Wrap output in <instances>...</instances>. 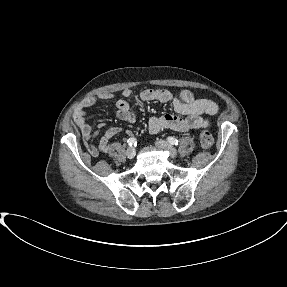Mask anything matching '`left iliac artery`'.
<instances>
[{
    "instance_id": "1",
    "label": "left iliac artery",
    "mask_w": 287,
    "mask_h": 287,
    "mask_svg": "<svg viewBox=\"0 0 287 287\" xmlns=\"http://www.w3.org/2000/svg\"><path fill=\"white\" fill-rule=\"evenodd\" d=\"M167 141L169 144L171 145H178L179 144V141L178 139L174 138V137H168L167 138Z\"/></svg>"
}]
</instances>
